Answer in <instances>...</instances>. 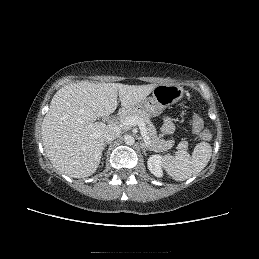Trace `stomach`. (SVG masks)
Instances as JSON below:
<instances>
[{
    "instance_id": "stomach-1",
    "label": "stomach",
    "mask_w": 259,
    "mask_h": 259,
    "mask_svg": "<svg viewBox=\"0 0 259 259\" xmlns=\"http://www.w3.org/2000/svg\"><path fill=\"white\" fill-rule=\"evenodd\" d=\"M184 88L180 85H157L151 97L145 98L134 108L145 111L150 116L159 115L166 107L178 102L184 95Z\"/></svg>"
}]
</instances>
